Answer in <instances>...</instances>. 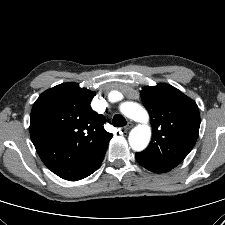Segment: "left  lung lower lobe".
Here are the masks:
<instances>
[{"label":"left lung lower lobe","mask_w":225,"mask_h":225,"mask_svg":"<svg viewBox=\"0 0 225 225\" xmlns=\"http://www.w3.org/2000/svg\"><path fill=\"white\" fill-rule=\"evenodd\" d=\"M135 157H136V159H137V161L139 162L140 165H142L143 167H145L146 169H148L152 172L164 173V172H168L170 170L166 167L160 166V165L142 157L138 153H136Z\"/></svg>","instance_id":"left-lung-lower-lobe-1"}]
</instances>
